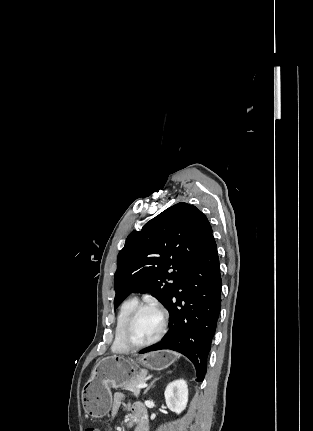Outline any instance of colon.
<instances>
[{"label": "colon", "instance_id": "5ec220e1", "mask_svg": "<svg viewBox=\"0 0 313 431\" xmlns=\"http://www.w3.org/2000/svg\"><path fill=\"white\" fill-rule=\"evenodd\" d=\"M85 431H100V430L95 427H90V428H87Z\"/></svg>", "mask_w": 313, "mask_h": 431}]
</instances>
